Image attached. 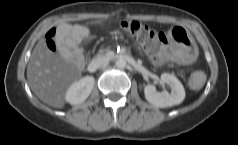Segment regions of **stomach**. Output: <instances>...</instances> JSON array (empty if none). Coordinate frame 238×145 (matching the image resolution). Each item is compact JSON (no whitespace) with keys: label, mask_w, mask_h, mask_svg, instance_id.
<instances>
[{"label":"stomach","mask_w":238,"mask_h":145,"mask_svg":"<svg viewBox=\"0 0 238 145\" xmlns=\"http://www.w3.org/2000/svg\"><path fill=\"white\" fill-rule=\"evenodd\" d=\"M169 41L176 45L181 56L190 58L197 54L199 46L191 32L182 25H173L167 30Z\"/></svg>","instance_id":"1"}]
</instances>
